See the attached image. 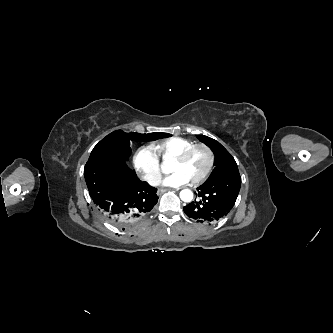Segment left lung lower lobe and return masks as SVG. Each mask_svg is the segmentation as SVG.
<instances>
[{
    "instance_id": "obj_1",
    "label": "left lung lower lobe",
    "mask_w": 333,
    "mask_h": 333,
    "mask_svg": "<svg viewBox=\"0 0 333 333\" xmlns=\"http://www.w3.org/2000/svg\"><path fill=\"white\" fill-rule=\"evenodd\" d=\"M241 186L239 172L220 176L197 188V200L185 206V214L197 222L213 224L233 208Z\"/></svg>"
}]
</instances>
